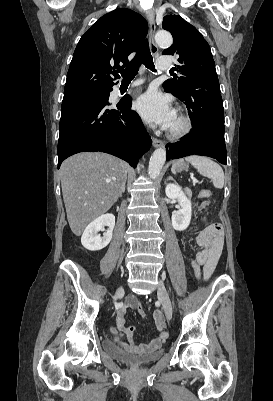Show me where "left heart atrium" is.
Listing matches in <instances>:
<instances>
[{"label": "left heart atrium", "mask_w": 273, "mask_h": 401, "mask_svg": "<svg viewBox=\"0 0 273 401\" xmlns=\"http://www.w3.org/2000/svg\"><path fill=\"white\" fill-rule=\"evenodd\" d=\"M138 113L150 125L169 129L176 117L171 102L157 92L142 94L136 103Z\"/></svg>", "instance_id": "obj_1"}]
</instances>
